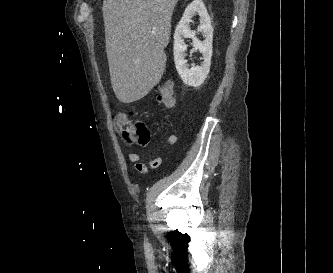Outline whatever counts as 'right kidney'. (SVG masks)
<instances>
[{
  "mask_svg": "<svg viewBox=\"0 0 333 273\" xmlns=\"http://www.w3.org/2000/svg\"><path fill=\"white\" fill-rule=\"evenodd\" d=\"M198 14L200 16V25L197 31L201 32L204 40L199 41L195 37V31L190 28L191 19ZM183 38H192L193 46L203 55L204 61L200 66L189 68L185 59L187 45ZM213 28L206 7L202 0H194L190 3L178 23L174 33V62L178 74L183 82L192 87L200 86L206 79L212 56Z\"/></svg>",
  "mask_w": 333,
  "mask_h": 273,
  "instance_id": "obj_1",
  "label": "right kidney"
}]
</instances>
